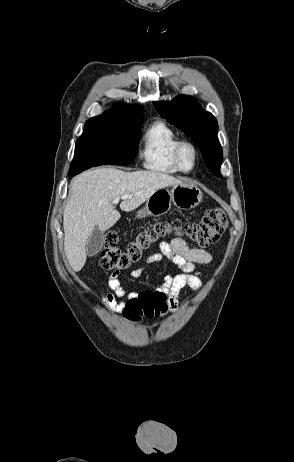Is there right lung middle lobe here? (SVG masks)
Segmentation results:
<instances>
[{"label": "right lung middle lobe", "mask_w": 294, "mask_h": 462, "mask_svg": "<svg viewBox=\"0 0 294 462\" xmlns=\"http://www.w3.org/2000/svg\"><path fill=\"white\" fill-rule=\"evenodd\" d=\"M141 116L124 118L101 115L85 123L82 136L77 139L69 175L99 165H127L138 151Z\"/></svg>", "instance_id": "obj_1"}]
</instances>
